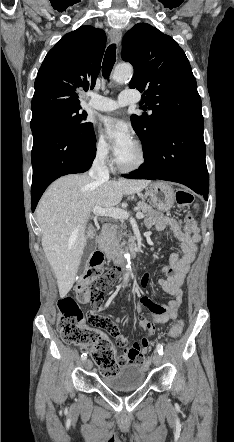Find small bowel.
I'll return each instance as SVG.
<instances>
[{"mask_svg": "<svg viewBox=\"0 0 234 442\" xmlns=\"http://www.w3.org/2000/svg\"><path fill=\"white\" fill-rule=\"evenodd\" d=\"M145 224L147 227L154 226L161 234H166L164 229L170 227L174 237L180 242L182 254L174 253L169 258V264L161 267V272L165 274V279H159L158 285L168 295L173 297L169 303L161 305L159 312H153L152 317L145 314H139L136 317L137 322L144 329L148 330V337L143 338L139 343H134L129 346L126 338L122 332L119 331L116 323L108 314H88L87 321L89 328H99L103 331H108V335L115 337V342L120 344V348L124 349L121 356V362L125 369L136 370L142 367L144 355L149 346V337L154 334L156 328L155 323H165L177 318L179 308L182 303V285L185 276L189 271L198 248L200 236L196 223H193L190 229L183 227L180 219L175 217L163 216L158 212L150 214ZM149 280V275L146 273L141 278V287L145 288ZM147 297H142L136 309L139 310L141 306H146L145 301ZM106 307L101 306L98 311H103ZM154 321L149 322V321Z\"/></svg>", "mask_w": 234, "mask_h": 442, "instance_id": "small-bowel-1", "label": "small bowel"}]
</instances>
